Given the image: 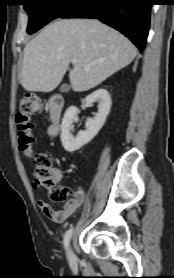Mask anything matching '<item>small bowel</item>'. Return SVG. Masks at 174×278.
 Instances as JSON below:
<instances>
[{"label":"small bowel","instance_id":"obj_1","mask_svg":"<svg viewBox=\"0 0 174 278\" xmlns=\"http://www.w3.org/2000/svg\"><path fill=\"white\" fill-rule=\"evenodd\" d=\"M61 179V173L57 171V181ZM85 192L81 187H78L74 193L73 197L66 201V205L61 210L54 209L46 201L40 199L38 200V206L46 217L50 220L61 223L68 219L73 213H75L85 201Z\"/></svg>","mask_w":174,"mask_h":278}]
</instances>
